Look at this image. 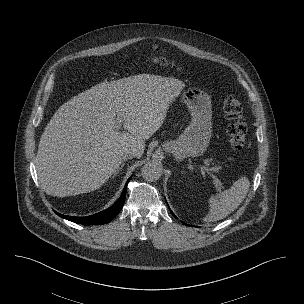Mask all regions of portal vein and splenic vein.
<instances>
[{"mask_svg": "<svg viewBox=\"0 0 304 304\" xmlns=\"http://www.w3.org/2000/svg\"><path fill=\"white\" fill-rule=\"evenodd\" d=\"M118 127H119V126H118ZM201 169L204 170V171H206L208 174H210V175L212 176V178H213V181H214L219 187L221 186V182L219 181V179H218L214 174H212V173L210 172V170H209L207 167L203 166V167H201Z\"/></svg>", "mask_w": 304, "mask_h": 304, "instance_id": "portal-vein-and-splenic-vein-1", "label": "portal vein and splenic vein"}]
</instances>
